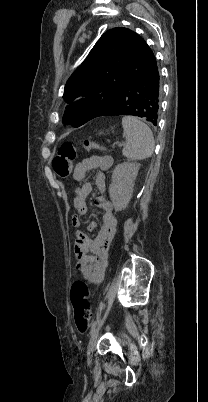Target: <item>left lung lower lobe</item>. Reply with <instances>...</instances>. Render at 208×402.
<instances>
[{
    "label": "left lung lower lobe",
    "instance_id": "left-lung-lower-lobe-1",
    "mask_svg": "<svg viewBox=\"0 0 208 402\" xmlns=\"http://www.w3.org/2000/svg\"><path fill=\"white\" fill-rule=\"evenodd\" d=\"M138 39L139 64L131 78L123 85L116 99L99 116L132 115L157 125L160 108V75L156 58L143 38Z\"/></svg>",
    "mask_w": 208,
    "mask_h": 402
}]
</instances>
